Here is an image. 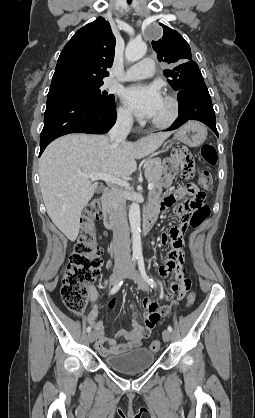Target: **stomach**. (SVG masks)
I'll use <instances>...</instances> for the list:
<instances>
[{"instance_id": "stomach-1", "label": "stomach", "mask_w": 255, "mask_h": 418, "mask_svg": "<svg viewBox=\"0 0 255 418\" xmlns=\"http://www.w3.org/2000/svg\"><path fill=\"white\" fill-rule=\"evenodd\" d=\"M206 135V129L202 124L190 121L175 132L174 139L188 146L197 147L204 142Z\"/></svg>"}]
</instances>
